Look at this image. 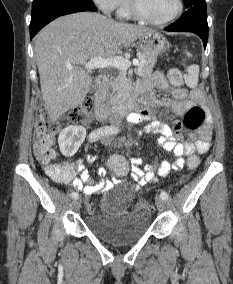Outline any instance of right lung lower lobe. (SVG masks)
Segmentation results:
<instances>
[{
    "mask_svg": "<svg viewBox=\"0 0 233 284\" xmlns=\"http://www.w3.org/2000/svg\"><path fill=\"white\" fill-rule=\"evenodd\" d=\"M95 6L79 5V6H54L52 8L43 10L35 15H31L30 23V37L33 38L37 32L59 16L66 14L82 12V11H95Z\"/></svg>",
    "mask_w": 233,
    "mask_h": 284,
    "instance_id": "98d812e1",
    "label": "right lung lower lobe"
}]
</instances>
